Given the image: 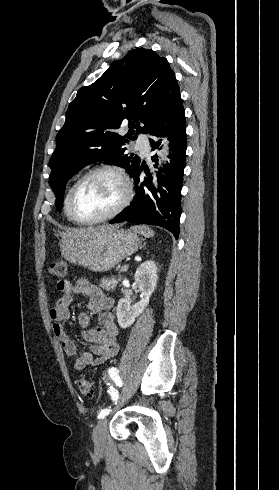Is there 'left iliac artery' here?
Here are the masks:
<instances>
[{"instance_id":"obj_1","label":"left iliac artery","mask_w":279,"mask_h":490,"mask_svg":"<svg viewBox=\"0 0 279 490\" xmlns=\"http://www.w3.org/2000/svg\"><path fill=\"white\" fill-rule=\"evenodd\" d=\"M109 373L110 375H113V376H117L118 375V370L116 368H111L109 369ZM108 393L111 395L112 397V400L115 402V404L117 403V400L119 398V393L118 391L113 388V387H110V389L108 390ZM111 409L110 408H105V409H102L99 414H98V418L99 419H102L104 418L105 416H107L109 413H110Z\"/></svg>"}]
</instances>
